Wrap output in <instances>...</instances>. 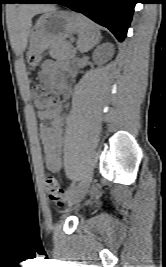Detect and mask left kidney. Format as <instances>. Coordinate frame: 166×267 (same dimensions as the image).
<instances>
[{
  "label": "left kidney",
  "mask_w": 166,
  "mask_h": 267,
  "mask_svg": "<svg viewBox=\"0 0 166 267\" xmlns=\"http://www.w3.org/2000/svg\"><path fill=\"white\" fill-rule=\"evenodd\" d=\"M106 45L111 46L109 43H107ZM94 60H95L96 63H103L104 62V60L103 61H99L97 57H94Z\"/></svg>",
  "instance_id": "obj_1"
}]
</instances>
